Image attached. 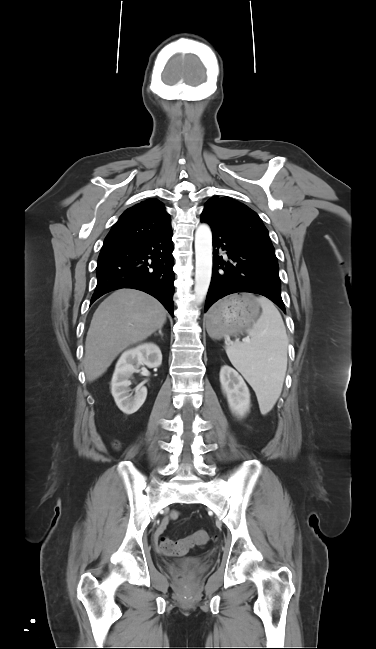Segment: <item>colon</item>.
I'll use <instances>...</instances> for the list:
<instances>
[{
  "instance_id": "obj_1",
  "label": "colon",
  "mask_w": 376,
  "mask_h": 649,
  "mask_svg": "<svg viewBox=\"0 0 376 649\" xmlns=\"http://www.w3.org/2000/svg\"><path fill=\"white\" fill-rule=\"evenodd\" d=\"M210 539V535L208 532L204 530H199L196 531L192 536H191V541L194 542L195 544L198 545H204L206 544ZM190 542L187 540H174L170 539L168 537H163L160 542V547L163 552L166 554H175V555H180L186 552V550L189 547ZM184 574L179 575V579H184Z\"/></svg>"
}]
</instances>
